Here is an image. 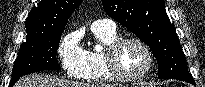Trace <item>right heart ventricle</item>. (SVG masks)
Listing matches in <instances>:
<instances>
[{
	"instance_id": "right-heart-ventricle-1",
	"label": "right heart ventricle",
	"mask_w": 205,
	"mask_h": 87,
	"mask_svg": "<svg viewBox=\"0 0 205 87\" xmlns=\"http://www.w3.org/2000/svg\"><path fill=\"white\" fill-rule=\"evenodd\" d=\"M95 38L100 41L104 49L118 39L117 32L103 29H92ZM104 49L101 51H85V70L79 78L88 82H111L114 78L109 74L104 60Z\"/></svg>"
}]
</instances>
